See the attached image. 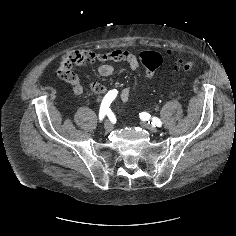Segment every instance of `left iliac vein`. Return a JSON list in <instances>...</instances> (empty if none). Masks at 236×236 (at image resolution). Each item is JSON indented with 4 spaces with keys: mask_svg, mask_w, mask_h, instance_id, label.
Here are the masks:
<instances>
[{
    "mask_svg": "<svg viewBox=\"0 0 236 236\" xmlns=\"http://www.w3.org/2000/svg\"><path fill=\"white\" fill-rule=\"evenodd\" d=\"M141 126L153 133H156L158 131L157 127H155L152 124L146 123V122H141Z\"/></svg>",
    "mask_w": 236,
    "mask_h": 236,
    "instance_id": "left-iliac-vein-1",
    "label": "left iliac vein"
}]
</instances>
